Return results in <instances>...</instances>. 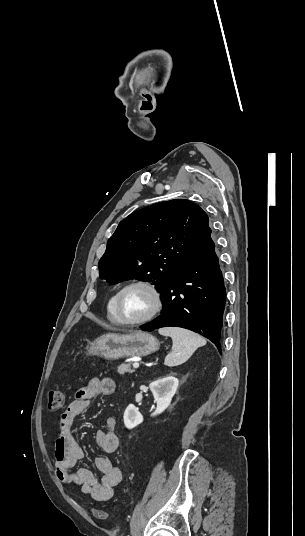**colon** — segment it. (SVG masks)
<instances>
[{
    "label": "colon",
    "instance_id": "obj_1",
    "mask_svg": "<svg viewBox=\"0 0 305 536\" xmlns=\"http://www.w3.org/2000/svg\"><path fill=\"white\" fill-rule=\"evenodd\" d=\"M64 393L60 390H49L47 394V407L49 412H58L62 409L65 402ZM92 514L97 519H107L109 514L102 510H93Z\"/></svg>",
    "mask_w": 305,
    "mask_h": 536
}]
</instances>
